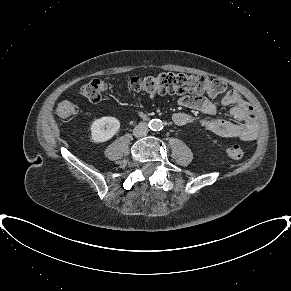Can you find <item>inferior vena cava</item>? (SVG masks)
<instances>
[{"label":"inferior vena cava","mask_w":291,"mask_h":291,"mask_svg":"<svg viewBox=\"0 0 291 291\" xmlns=\"http://www.w3.org/2000/svg\"><path fill=\"white\" fill-rule=\"evenodd\" d=\"M149 131L148 125L144 122L139 123L134 128L133 134L135 137H144Z\"/></svg>","instance_id":"1"}]
</instances>
